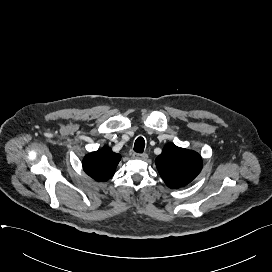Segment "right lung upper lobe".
Wrapping results in <instances>:
<instances>
[{"label": "right lung upper lobe", "instance_id": "right-lung-upper-lobe-1", "mask_svg": "<svg viewBox=\"0 0 272 272\" xmlns=\"http://www.w3.org/2000/svg\"><path fill=\"white\" fill-rule=\"evenodd\" d=\"M121 160V155L114 153L110 147L89 153L83 159V169L96 181H107L114 173Z\"/></svg>", "mask_w": 272, "mask_h": 272}]
</instances>
